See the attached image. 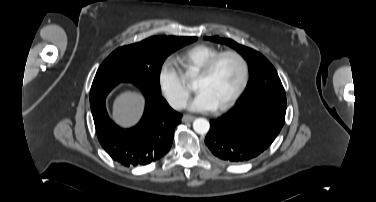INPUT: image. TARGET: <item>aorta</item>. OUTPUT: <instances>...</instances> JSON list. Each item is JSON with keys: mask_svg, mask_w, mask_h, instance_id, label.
<instances>
[{"mask_svg": "<svg viewBox=\"0 0 376 202\" xmlns=\"http://www.w3.org/2000/svg\"><path fill=\"white\" fill-rule=\"evenodd\" d=\"M210 123L204 118H197L193 122V129L198 134H206L209 131Z\"/></svg>", "mask_w": 376, "mask_h": 202, "instance_id": "762f6f07", "label": "aorta"}]
</instances>
